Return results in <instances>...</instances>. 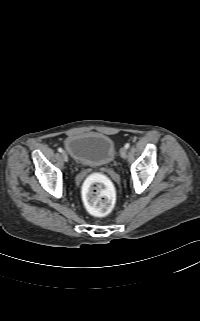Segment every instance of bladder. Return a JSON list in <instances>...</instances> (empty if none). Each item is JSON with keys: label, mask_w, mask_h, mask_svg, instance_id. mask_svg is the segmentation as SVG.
<instances>
[{"label": "bladder", "mask_w": 200, "mask_h": 321, "mask_svg": "<svg viewBox=\"0 0 200 321\" xmlns=\"http://www.w3.org/2000/svg\"><path fill=\"white\" fill-rule=\"evenodd\" d=\"M64 146L75 162L85 166L106 165L114 159L116 152L114 141L98 132L70 135Z\"/></svg>", "instance_id": "bladder-1"}]
</instances>
